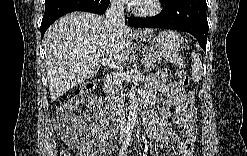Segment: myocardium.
<instances>
[{"mask_svg":"<svg viewBox=\"0 0 247 156\" xmlns=\"http://www.w3.org/2000/svg\"><path fill=\"white\" fill-rule=\"evenodd\" d=\"M159 9L160 3L158 0H149L145 5H136L133 8V13L139 17H148L158 13Z\"/></svg>","mask_w":247,"mask_h":156,"instance_id":"myocardium-1","label":"myocardium"}]
</instances>
